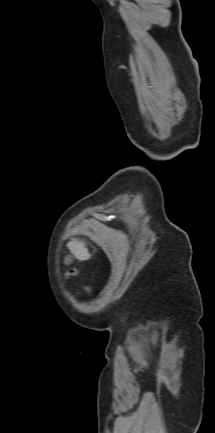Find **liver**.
Returning a JSON list of instances; mask_svg holds the SVG:
<instances>
[{
	"instance_id": "liver-1",
	"label": "liver",
	"mask_w": 215,
	"mask_h": 433,
	"mask_svg": "<svg viewBox=\"0 0 215 433\" xmlns=\"http://www.w3.org/2000/svg\"><path fill=\"white\" fill-rule=\"evenodd\" d=\"M67 246L76 259L86 261L91 258V254L83 242L73 239L68 242Z\"/></svg>"
}]
</instances>
